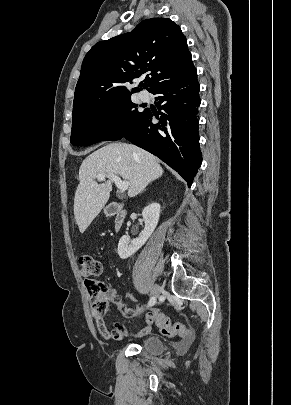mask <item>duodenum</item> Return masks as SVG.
<instances>
[{
  "instance_id": "410a0bca",
  "label": "duodenum",
  "mask_w": 291,
  "mask_h": 405,
  "mask_svg": "<svg viewBox=\"0 0 291 405\" xmlns=\"http://www.w3.org/2000/svg\"><path fill=\"white\" fill-rule=\"evenodd\" d=\"M109 213L113 215L115 218L114 220L115 229L119 230L122 227L123 222L125 220L126 212L117 205H112L109 208Z\"/></svg>"
}]
</instances>
